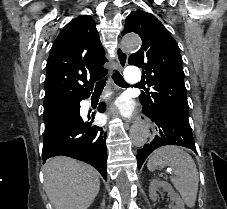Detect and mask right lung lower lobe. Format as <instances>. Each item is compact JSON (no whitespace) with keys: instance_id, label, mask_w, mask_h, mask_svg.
<instances>
[{"instance_id":"obj_1","label":"right lung lower lobe","mask_w":227,"mask_h":209,"mask_svg":"<svg viewBox=\"0 0 227 209\" xmlns=\"http://www.w3.org/2000/svg\"><path fill=\"white\" fill-rule=\"evenodd\" d=\"M80 101L77 102L78 106L70 115L45 130L42 150L43 163L50 157L69 156L94 166L103 178L107 179L106 134L98 126L91 127L94 117L89 118L88 121L81 118ZM98 110L104 112L105 104L101 103ZM89 120L91 121L89 122Z\"/></svg>"}]
</instances>
